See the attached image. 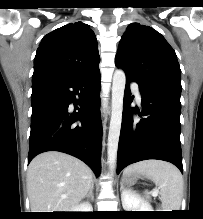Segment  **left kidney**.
I'll return each instance as SVG.
<instances>
[{
  "instance_id": "left-kidney-1",
  "label": "left kidney",
  "mask_w": 203,
  "mask_h": 219,
  "mask_svg": "<svg viewBox=\"0 0 203 219\" xmlns=\"http://www.w3.org/2000/svg\"><path fill=\"white\" fill-rule=\"evenodd\" d=\"M121 201L125 211H153L148 202L131 190L122 191Z\"/></svg>"
}]
</instances>
